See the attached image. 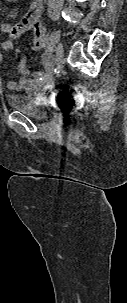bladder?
<instances>
[{
	"mask_svg": "<svg viewBox=\"0 0 127 303\" xmlns=\"http://www.w3.org/2000/svg\"><path fill=\"white\" fill-rule=\"evenodd\" d=\"M7 103L13 110L22 112L34 119H44L47 116L46 103L36 94H9Z\"/></svg>",
	"mask_w": 127,
	"mask_h": 303,
	"instance_id": "1",
	"label": "bladder"
}]
</instances>
